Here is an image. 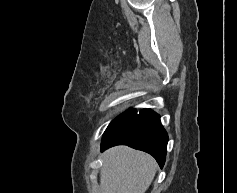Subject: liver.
Wrapping results in <instances>:
<instances>
[{
    "mask_svg": "<svg viewBox=\"0 0 237 193\" xmlns=\"http://www.w3.org/2000/svg\"><path fill=\"white\" fill-rule=\"evenodd\" d=\"M103 157L101 193H145L158 167L152 156L128 146L113 147Z\"/></svg>",
    "mask_w": 237,
    "mask_h": 193,
    "instance_id": "1",
    "label": "liver"
}]
</instances>
